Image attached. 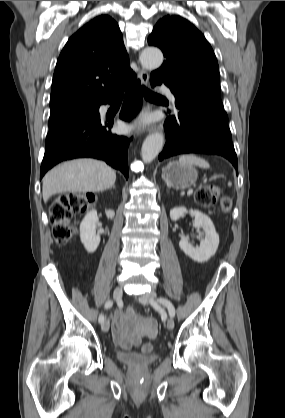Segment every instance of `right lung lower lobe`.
Listing matches in <instances>:
<instances>
[{"mask_svg":"<svg viewBox=\"0 0 285 418\" xmlns=\"http://www.w3.org/2000/svg\"><path fill=\"white\" fill-rule=\"evenodd\" d=\"M138 83L136 77L135 82L127 87L128 92L120 113V118L124 120L132 119L138 111V105L142 102L138 92ZM112 125L113 119L100 120L98 114L91 118L73 120L49 130L40 179L59 162L81 157L104 160L113 168L120 170L128 179L127 151L130 140L124 136L112 134L108 129Z\"/></svg>","mask_w":285,"mask_h":418,"instance_id":"obj_1","label":"right lung lower lobe"}]
</instances>
